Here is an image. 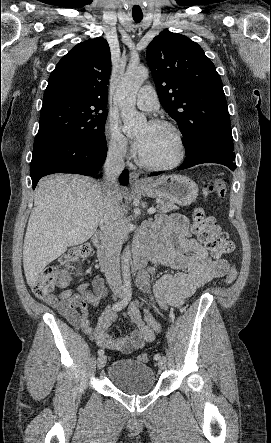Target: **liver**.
<instances>
[{"label":"liver","instance_id":"1","mask_svg":"<svg viewBox=\"0 0 271 443\" xmlns=\"http://www.w3.org/2000/svg\"><path fill=\"white\" fill-rule=\"evenodd\" d=\"M97 186L99 182L93 178L71 174L46 176L38 182L23 245V267L30 287L69 245L84 243L95 233L105 214ZM119 194L122 200L123 194Z\"/></svg>","mask_w":271,"mask_h":443}]
</instances>
